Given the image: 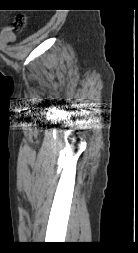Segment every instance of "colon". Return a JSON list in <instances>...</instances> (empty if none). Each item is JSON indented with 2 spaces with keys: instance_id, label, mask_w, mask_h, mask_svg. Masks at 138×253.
I'll return each instance as SVG.
<instances>
[{
  "instance_id": "5ec220e1",
  "label": "colon",
  "mask_w": 138,
  "mask_h": 253,
  "mask_svg": "<svg viewBox=\"0 0 138 253\" xmlns=\"http://www.w3.org/2000/svg\"><path fill=\"white\" fill-rule=\"evenodd\" d=\"M23 25V19L22 18H19L17 20V27H21Z\"/></svg>"
}]
</instances>
